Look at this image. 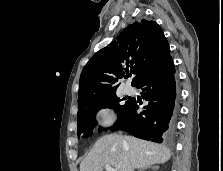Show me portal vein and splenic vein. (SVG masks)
Returning <instances> with one entry per match:
<instances>
[{
	"label": "portal vein and splenic vein",
	"mask_w": 223,
	"mask_h": 171,
	"mask_svg": "<svg viewBox=\"0 0 223 171\" xmlns=\"http://www.w3.org/2000/svg\"><path fill=\"white\" fill-rule=\"evenodd\" d=\"M106 171H118L116 168L111 167L110 165H105Z\"/></svg>",
	"instance_id": "1"
}]
</instances>
